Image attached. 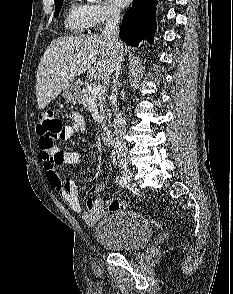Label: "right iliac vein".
<instances>
[{
    "mask_svg": "<svg viewBox=\"0 0 233 294\" xmlns=\"http://www.w3.org/2000/svg\"><path fill=\"white\" fill-rule=\"evenodd\" d=\"M120 170L123 176H125L129 181H132L133 174L127 165H121Z\"/></svg>",
    "mask_w": 233,
    "mask_h": 294,
    "instance_id": "63e3f726",
    "label": "right iliac vein"
}]
</instances>
